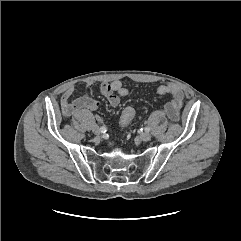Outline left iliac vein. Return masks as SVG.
I'll return each mask as SVG.
<instances>
[{"label": "left iliac vein", "instance_id": "obj_1", "mask_svg": "<svg viewBox=\"0 0 241 241\" xmlns=\"http://www.w3.org/2000/svg\"><path fill=\"white\" fill-rule=\"evenodd\" d=\"M140 140L141 141H144V142H147L149 140H151V134L148 133V132H144L140 135Z\"/></svg>", "mask_w": 241, "mask_h": 241}]
</instances>
